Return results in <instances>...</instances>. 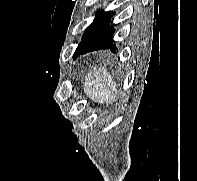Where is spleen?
Listing matches in <instances>:
<instances>
[{"instance_id":"spleen-1","label":"spleen","mask_w":197,"mask_h":181,"mask_svg":"<svg viewBox=\"0 0 197 181\" xmlns=\"http://www.w3.org/2000/svg\"><path fill=\"white\" fill-rule=\"evenodd\" d=\"M84 92L94 102L112 103L116 101L115 82L105 66L93 67L85 76Z\"/></svg>"}]
</instances>
